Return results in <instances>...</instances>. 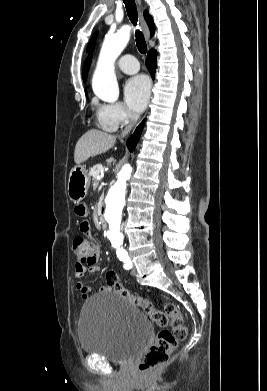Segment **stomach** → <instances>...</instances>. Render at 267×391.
<instances>
[{"label":"stomach","instance_id":"obj_1","mask_svg":"<svg viewBox=\"0 0 267 391\" xmlns=\"http://www.w3.org/2000/svg\"><path fill=\"white\" fill-rule=\"evenodd\" d=\"M90 185V174L84 166L74 167L69 175L67 194L71 201L78 203L87 194Z\"/></svg>","mask_w":267,"mask_h":391}]
</instances>
